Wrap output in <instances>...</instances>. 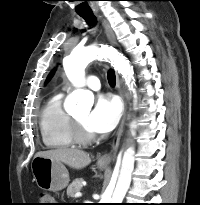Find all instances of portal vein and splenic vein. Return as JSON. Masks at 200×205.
I'll return each mask as SVG.
<instances>
[{
    "label": "portal vein and splenic vein",
    "instance_id": "obj_1",
    "mask_svg": "<svg viewBox=\"0 0 200 205\" xmlns=\"http://www.w3.org/2000/svg\"><path fill=\"white\" fill-rule=\"evenodd\" d=\"M81 196H82V193H80V192H77V193L75 194V197H76V198L81 197Z\"/></svg>",
    "mask_w": 200,
    "mask_h": 205
}]
</instances>
